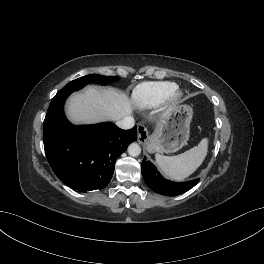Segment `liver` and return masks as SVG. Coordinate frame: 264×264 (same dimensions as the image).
<instances>
[{
    "label": "liver",
    "instance_id": "obj_1",
    "mask_svg": "<svg viewBox=\"0 0 264 264\" xmlns=\"http://www.w3.org/2000/svg\"><path fill=\"white\" fill-rule=\"evenodd\" d=\"M133 112V102L115 89L88 87L73 94L66 107L69 120L75 124H92L101 121L124 119Z\"/></svg>",
    "mask_w": 264,
    "mask_h": 264
}]
</instances>
